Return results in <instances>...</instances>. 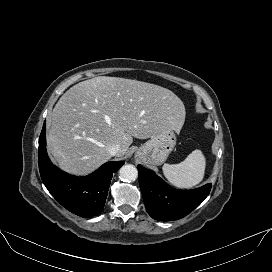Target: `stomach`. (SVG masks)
Segmentation results:
<instances>
[{"label":"stomach","instance_id":"obj_1","mask_svg":"<svg viewBox=\"0 0 272 272\" xmlns=\"http://www.w3.org/2000/svg\"><path fill=\"white\" fill-rule=\"evenodd\" d=\"M173 128H165L154 134L150 140L136 151L137 158H144L152 165H161L176 145V135Z\"/></svg>","mask_w":272,"mask_h":272}]
</instances>
